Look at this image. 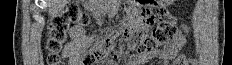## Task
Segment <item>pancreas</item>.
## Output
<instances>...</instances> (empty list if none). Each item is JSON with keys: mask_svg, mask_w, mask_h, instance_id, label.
I'll use <instances>...</instances> for the list:
<instances>
[{"mask_svg": "<svg viewBox=\"0 0 232 65\" xmlns=\"http://www.w3.org/2000/svg\"><path fill=\"white\" fill-rule=\"evenodd\" d=\"M105 9H106V7H105V6H103V7H102V11H105Z\"/></svg>", "mask_w": 232, "mask_h": 65, "instance_id": "obj_1", "label": "pancreas"}]
</instances>
